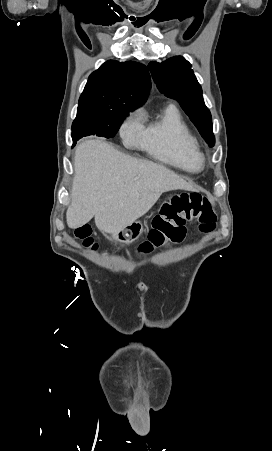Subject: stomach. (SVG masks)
<instances>
[{
  "label": "stomach",
  "mask_w": 272,
  "mask_h": 451,
  "mask_svg": "<svg viewBox=\"0 0 272 451\" xmlns=\"http://www.w3.org/2000/svg\"><path fill=\"white\" fill-rule=\"evenodd\" d=\"M144 226L139 222V220H135V222H131L128 226L122 227V229H118L115 233H110L107 235L108 239H115V241H120V243H132L135 239H138L139 235L143 233Z\"/></svg>",
  "instance_id": "stomach-1"
}]
</instances>
